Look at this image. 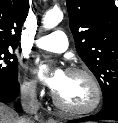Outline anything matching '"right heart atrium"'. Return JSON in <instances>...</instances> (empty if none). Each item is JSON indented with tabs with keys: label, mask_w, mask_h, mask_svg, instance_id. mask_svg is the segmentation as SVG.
Masks as SVG:
<instances>
[{
	"label": "right heart atrium",
	"mask_w": 118,
	"mask_h": 123,
	"mask_svg": "<svg viewBox=\"0 0 118 123\" xmlns=\"http://www.w3.org/2000/svg\"><path fill=\"white\" fill-rule=\"evenodd\" d=\"M21 89L25 96L35 97L38 86L35 80L27 79L23 82Z\"/></svg>",
	"instance_id": "d8ad5b80"
}]
</instances>
